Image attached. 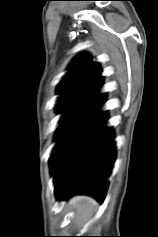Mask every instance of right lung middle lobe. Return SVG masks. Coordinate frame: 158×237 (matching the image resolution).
<instances>
[{
  "label": "right lung middle lobe",
  "mask_w": 158,
  "mask_h": 237,
  "mask_svg": "<svg viewBox=\"0 0 158 237\" xmlns=\"http://www.w3.org/2000/svg\"><path fill=\"white\" fill-rule=\"evenodd\" d=\"M80 106L71 104V103H65V102H58L57 108L60 112H64L61 122L69 116L71 113H73L76 109H78Z\"/></svg>",
  "instance_id": "dd1d6c3e"
}]
</instances>
